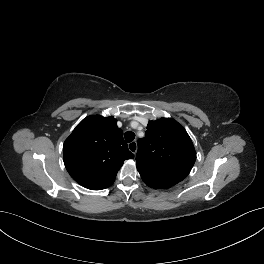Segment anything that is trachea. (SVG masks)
<instances>
[{
    "label": "trachea",
    "instance_id": "3493384b",
    "mask_svg": "<svg viewBox=\"0 0 264 264\" xmlns=\"http://www.w3.org/2000/svg\"><path fill=\"white\" fill-rule=\"evenodd\" d=\"M134 138H135V133H134V132L127 131V132L125 133V140H126V142L129 143V142L133 141Z\"/></svg>",
    "mask_w": 264,
    "mask_h": 264
}]
</instances>
